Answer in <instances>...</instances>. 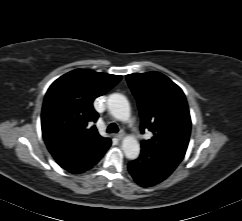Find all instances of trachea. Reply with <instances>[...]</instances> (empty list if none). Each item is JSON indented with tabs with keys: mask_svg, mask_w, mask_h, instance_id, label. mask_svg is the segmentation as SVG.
<instances>
[{
	"mask_svg": "<svg viewBox=\"0 0 242 221\" xmlns=\"http://www.w3.org/2000/svg\"><path fill=\"white\" fill-rule=\"evenodd\" d=\"M118 131H119V128L115 123H111L107 128L108 133H117Z\"/></svg>",
	"mask_w": 242,
	"mask_h": 221,
	"instance_id": "3493384b",
	"label": "trachea"
}]
</instances>
